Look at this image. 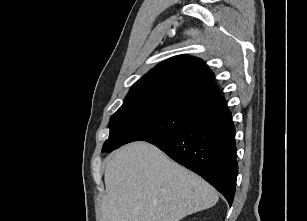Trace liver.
I'll use <instances>...</instances> for the list:
<instances>
[{"instance_id": "6515ba94", "label": "liver", "mask_w": 307, "mask_h": 221, "mask_svg": "<svg viewBox=\"0 0 307 221\" xmlns=\"http://www.w3.org/2000/svg\"><path fill=\"white\" fill-rule=\"evenodd\" d=\"M104 181L102 221H180L218 201L210 184L147 142L110 154Z\"/></svg>"}]
</instances>
